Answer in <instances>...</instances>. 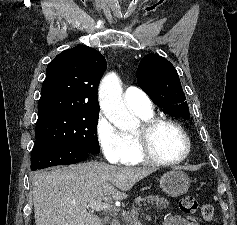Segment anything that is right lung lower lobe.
<instances>
[{"instance_id":"right-lung-lower-lobe-1","label":"right lung lower lobe","mask_w":237,"mask_h":225,"mask_svg":"<svg viewBox=\"0 0 237 225\" xmlns=\"http://www.w3.org/2000/svg\"><path fill=\"white\" fill-rule=\"evenodd\" d=\"M89 157V153L66 145L51 142H35L31 154V170L56 165L75 164Z\"/></svg>"}]
</instances>
